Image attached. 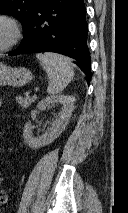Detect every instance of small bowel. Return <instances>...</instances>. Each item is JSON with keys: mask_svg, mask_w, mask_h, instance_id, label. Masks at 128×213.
Here are the masks:
<instances>
[{"mask_svg": "<svg viewBox=\"0 0 128 213\" xmlns=\"http://www.w3.org/2000/svg\"><path fill=\"white\" fill-rule=\"evenodd\" d=\"M2 105V101H1V99H0V106Z\"/></svg>", "mask_w": 128, "mask_h": 213, "instance_id": "obj_1", "label": "small bowel"}]
</instances>
